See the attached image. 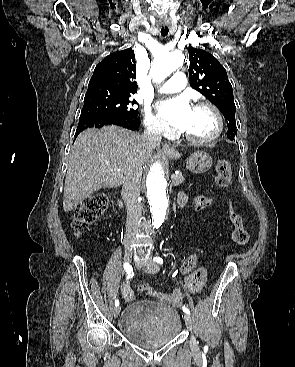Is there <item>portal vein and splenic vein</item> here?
I'll return each mask as SVG.
<instances>
[{
	"label": "portal vein and splenic vein",
	"instance_id": "obj_1",
	"mask_svg": "<svg viewBox=\"0 0 295 367\" xmlns=\"http://www.w3.org/2000/svg\"><path fill=\"white\" fill-rule=\"evenodd\" d=\"M114 174H118L119 175V170H113L112 171ZM171 178H174V175L171 176Z\"/></svg>",
	"mask_w": 295,
	"mask_h": 367
}]
</instances>
